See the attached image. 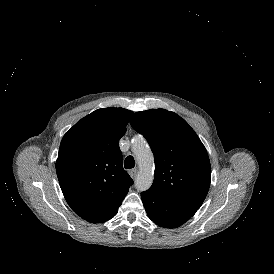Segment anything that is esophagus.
Listing matches in <instances>:
<instances>
[{"mask_svg":"<svg viewBox=\"0 0 274 274\" xmlns=\"http://www.w3.org/2000/svg\"><path fill=\"white\" fill-rule=\"evenodd\" d=\"M129 174L133 179H136L137 174H138V170L136 168L132 169V170L129 171Z\"/></svg>","mask_w":274,"mask_h":274,"instance_id":"1","label":"esophagus"}]
</instances>
